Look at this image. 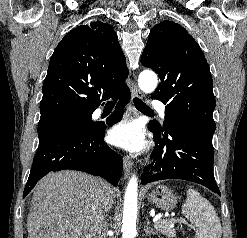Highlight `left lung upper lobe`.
I'll use <instances>...</instances> for the list:
<instances>
[{
    "label": "left lung upper lobe",
    "instance_id": "1",
    "mask_svg": "<svg viewBox=\"0 0 247 238\" xmlns=\"http://www.w3.org/2000/svg\"><path fill=\"white\" fill-rule=\"evenodd\" d=\"M141 63L160 77L152 99L166 104L163 126L158 122L151 126L165 133L172 122L178 121L213 136V82L209 65L194 38L177 23L160 22L149 34Z\"/></svg>",
    "mask_w": 247,
    "mask_h": 238
}]
</instances>
